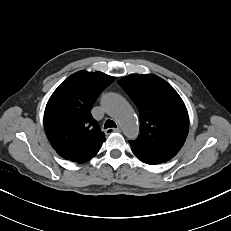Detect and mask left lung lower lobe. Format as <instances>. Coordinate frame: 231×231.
<instances>
[{"instance_id": "left-lung-lower-lobe-1", "label": "left lung lower lobe", "mask_w": 231, "mask_h": 231, "mask_svg": "<svg viewBox=\"0 0 231 231\" xmlns=\"http://www.w3.org/2000/svg\"><path fill=\"white\" fill-rule=\"evenodd\" d=\"M132 152L135 154V156L141 160L142 162L149 164V165H155L160 164L163 162H167L171 158L161 155H153V154H145L139 151H136L132 149Z\"/></svg>"}]
</instances>
